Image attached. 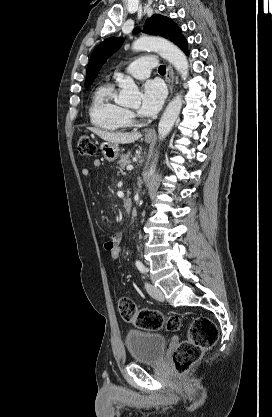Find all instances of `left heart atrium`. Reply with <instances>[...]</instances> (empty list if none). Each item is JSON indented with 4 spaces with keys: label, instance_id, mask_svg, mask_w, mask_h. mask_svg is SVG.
Listing matches in <instances>:
<instances>
[{
    "label": "left heart atrium",
    "instance_id": "39dd6f15",
    "mask_svg": "<svg viewBox=\"0 0 272 417\" xmlns=\"http://www.w3.org/2000/svg\"><path fill=\"white\" fill-rule=\"evenodd\" d=\"M166 91L163 84L157 80L147 81L142 88L139 113L142 116H152L156 114L165 99Z\"/></svg>",
    "mask_w": 272,
    "mask_h": 417
}]
</instances>
